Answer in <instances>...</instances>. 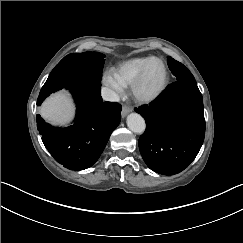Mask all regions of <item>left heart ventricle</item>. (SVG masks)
Instances as JSON below:
<instances>
[{
    "label": "left heart ventricle",
    "mask_w": 243,
    "mask_h": 243,
    "mask_svg": "<svg viewBox=\"0 0 243 243\" xmlns=\"http://www.w3.org/2000/svg\"><path fill=\"white\" fill-rule=\"evenodd\" d=\"M165 71L159 62L152 64L148 78L142 88V93L150 94L156 91L163 83Z\"/></svg>",
    "instance_id": "1"
}]
</instances>
